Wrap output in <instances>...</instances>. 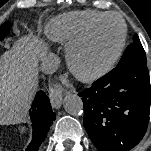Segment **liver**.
<instances>
[{"instance_id":"6515ba94","label":"liver","mask_w":151,"mask_h":151,"mask_svg":"<svg viewBox=\"0 0 151 151\" xmlns=\"http://www.w3.org/2000/svg\"><path fill=\"white\" fill-rule=\"evenodd\" d=\"M47 47L36 37L20 38L0 57V122L25 115L38 85V60Z\"/></svg>"}]
</instances>
